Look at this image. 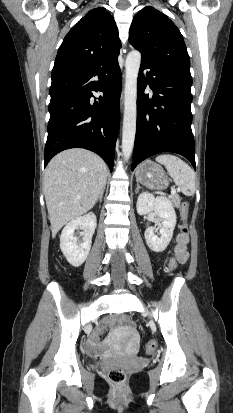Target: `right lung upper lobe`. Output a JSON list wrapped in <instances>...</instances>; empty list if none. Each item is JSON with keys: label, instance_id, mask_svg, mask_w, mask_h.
<instances>
[{"label": "right lung upper lobe", "instance_id": "cb5924a9", "mask_svg": "<svg viewBox=\"0 0 233 413\" xmlns=\"http://www.w3.org/2000/svg\"><path fill=\"white\" fill-rule=\"evenodd\" d=\"M120 47L114 18L103 7L90 10L65 36L52 76L117 57Z\"/></svg>", "mask_w": 233, "mask_h": 413}]
</instances>
